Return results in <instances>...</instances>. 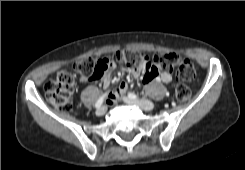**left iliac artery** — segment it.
<instances>
[{"label":"left iliac artery","mask_w":245,"mask_h":170,"mask_svg":"<svg viewBox=\"0 0 245 170\" xmlns=\"http://www.w3.org/2000/svg\"><path fill=\"white\" fill-rule=\"evenodd\" d=\"M128 97L131 98V99H136L137 96L134 94V93H128ZM143 101L147 104L148 100H144Z\"/></svg>","instance_id":"1"}]
</instances>
